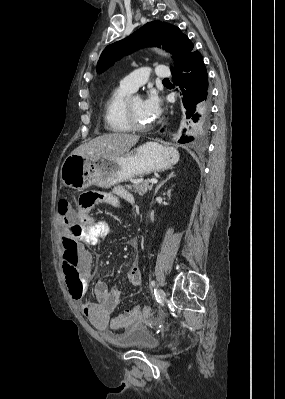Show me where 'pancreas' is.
Here are the masks:
<instances>
[{
    "label": "pancreas",
    "instance_id": "cf45deb5",
    "mask_svg": "<svg viewBox=\"0 0 285 399\" xmlns=\"http://www.w3.org/2000/svg\"><path fill=\"white\" fill-rule=\"evenodd\" d=\"M132 185H127V189L139 195H144L147 191H151L153 185H149L147 181L131 180Z\"/></svg>",
    "mask_w": 285,
    "mask_h": 399
}]
</instances>
